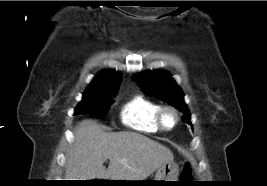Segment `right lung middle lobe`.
I'll return each instance as SVG.
<instances>
[{"mask_svg":"<svg viewBox=\"0 0 267 186\" xmlns=\"http://www.w3.org/2000/svg\"><path fill=\"white\" fill-rule=\"evenodd\" d=\"M116 92L117 91L85 92L82 101L75 109L74 115L88 114L93 118L104 117L113 102V97Z\"/></svg>","mask_w":267,"mask_h":186,"instance_id":"1","label":"right lung middle lobe"}]
</instances>
